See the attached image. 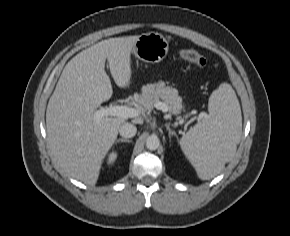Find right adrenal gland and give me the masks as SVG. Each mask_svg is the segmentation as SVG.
Returning a JSON list of instances; mask_svg holds the SVG:
<instances>
[{
    "mask_svg": "<svg viewBox=\"0 0 290 236\" xmlns=\"http://www.w3.org/2000/svg\"><path fill=\"white\" fill-rule=\"evenodd\" d=\"M120 142H122V143H123V142L130 143V142H132V140H130V139H123V138H120V139H117L115 143L117 144V143H120Z\"/></svg>",
    "mask_w": 290,
    "mask_h": 236,
    "instance_id": "1",
    "label": "right adrenal gland"
}]
</instances>
